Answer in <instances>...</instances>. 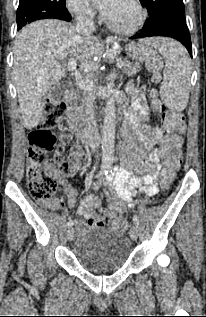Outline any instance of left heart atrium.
<instances>
[{
	"label": "left heart atrium",
	"instance_id": "39dd6f15",
	"mask_svg": "<svg viewBox=\"0 0 206 317\" xmlns=\"http://www.w3.org/2000/svg\"><path fill=\"white\" fill-rule=\"evenodd\" d=\"M116 1L117 0H95V3L103 16L108 17L110 11L115 6Z\"/></svg>",
	"mask_w": 206,
	"mask_h": 317
}]
</instances>
